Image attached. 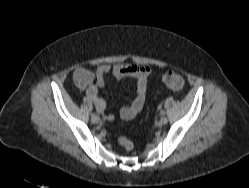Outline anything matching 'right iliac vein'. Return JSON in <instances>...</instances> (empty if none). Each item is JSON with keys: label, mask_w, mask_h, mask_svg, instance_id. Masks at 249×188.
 <instances>
[{"label": "right iliac vein", "mask_w": 249, "mask_h": 188, "mask_svg": "<svg viewBox=\"0 0 249 188\" xmlns=\"http://www.w3.org/2000/svg\"><path fill=\"white\" fill-rule=\"evenodd\" d=\"M99 121H100V119H99L98 116H94V117L91 118V122L94 123V124H97Z\"/></svg>", "instance_id": "63e3f726"}]
</instances>
